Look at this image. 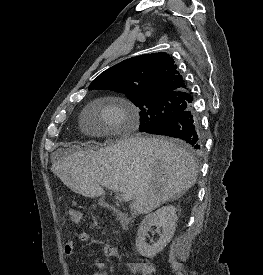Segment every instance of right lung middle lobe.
<instances>
[{
	"instance_id": "1",
	"label": "right lung middle lobe",
	"mask_w": 263,
	"mask_h": 275,
	"mask_svg": "<svg viewBox=\"0 0 263 275\" xmlns=\"http://www.w3.org/2000/svg\"><path fill=\"white\" fill-rule=\"evenodd\" d=\"M90 89H96V87H92ZM112 90L126 94L139 109V129L140 131L146 133L158 125L166 122L173 116L191 108L193 102V98L190 94L133 95L128 92H124L121 89Z\"/></svg>"
}]
</instances>
